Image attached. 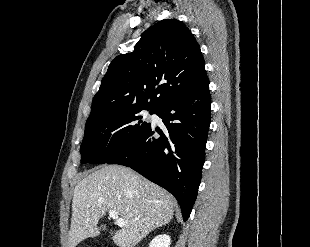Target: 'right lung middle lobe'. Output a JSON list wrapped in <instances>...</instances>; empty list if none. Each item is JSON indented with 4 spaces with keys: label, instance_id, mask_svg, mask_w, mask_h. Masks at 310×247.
<instances>
[{
    "label": "right lung middle lobe",
    "instance_id": "obj_1",
    "mask_svg": "<svg viewBox=\"0 0 310 247\" xmlns=\"http://www.w3.org/2000/svg\"><path fill=\"white\" fill-rule=\"evenodd\" d=\"M132 108L96 117L86 122L81 144V163H108L130 148L150 125L143 120L142 111ZM150 114L156 112L149 109Z\"/></svg>",
    "mask_w": 310,
    "mask_h": 247
}]
</instances>
